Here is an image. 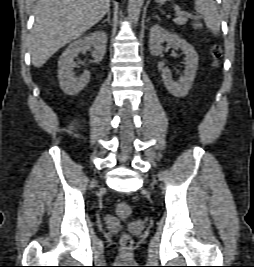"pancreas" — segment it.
<instances>
[{"instance_id":"1","label":"pancreas","mask_w":254,"mask_h":267,"mask_svg":"<svg viewBox=\"0 0 254 267\" xmlns=\"http://www.w3.org/2000/svg\"><path fill=\"white\" fill-rule=\"evenodd\" d=\"M187 22V19L183 16H179L178 18L174 19V23L178 25H184Z\"/></svg>"}]
</instances>
